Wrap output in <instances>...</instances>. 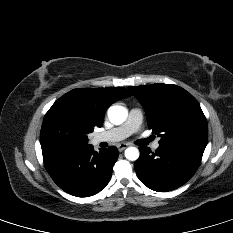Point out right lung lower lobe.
I'll list each match as a JSON object with an SVG mask.
<instances>
[{
	"label": "right lung lower lobe",
	"mask_w": 233,
	"mask_h": 233,
	"mask_svg": "<svg viewBox=\"0 0 233 233\" xmlns=\"http://www.w3.org/2000/svg\"><path fill=\"white\" fill-rule=\"evenodd\" d=\"M46 170L65 192L89 197L100 192L109 182L118 150L111 146L93 150V146L49 145L42 147Z\"/></svg>",
	"instance_id": "right-lung-lower-lobe-1"
}]
</instances>
